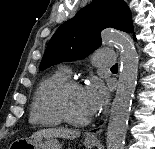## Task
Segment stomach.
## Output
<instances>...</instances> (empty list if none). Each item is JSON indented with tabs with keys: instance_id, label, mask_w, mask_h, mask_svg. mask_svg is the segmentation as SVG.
Wrapping results in <instances>:
<instances>
[{
	"instance_id": "stomach-1",
	"label": "stomach",
	"mask_w": 155,
	"mask_h": 149,
	"mask_svg": "<svg viewBox=\"0 0 155 149\" xmlns=\"http://www.w3.org/2000/svg\"><path fill=\"white\" fill-rule=\"evenodd\" d=\"M83 144L86 149H92L95 145L94 142L89 141H84ZM12 147L14 149H62V144L56 137L42 135L35 138L16 140Z\"/></svg>"
}]
</instances>
